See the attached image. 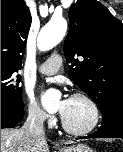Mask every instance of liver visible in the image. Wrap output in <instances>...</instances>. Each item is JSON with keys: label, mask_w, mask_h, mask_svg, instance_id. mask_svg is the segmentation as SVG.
I'll return each mask as SVG.
<instances>
[{"label": "liver", "mask_w": 123, "mask_h": 152, "mask_svg": "<svg viewBox=\"0 0 123 152\" xmlns=\"http://www.w3.org/2000/svg\"><path fill=\"white\" fill-rule=\"evenodd\" d=\"M1 152H49L46 138L24 129H1Z\"/></svg>", "instance_id": "liver-1"}]
</instances>
